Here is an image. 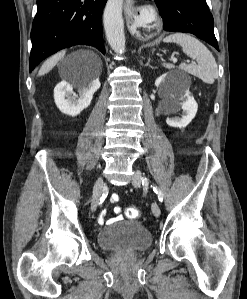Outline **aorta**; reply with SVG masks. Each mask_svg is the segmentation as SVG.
I'll list each match as a JSON object with an SVG mask.
<instances>
[{
    "label": "aorta",
    "mask_w": 247,
    "mask_h": 299,
    "mask_svg": "<svg viewBox=\"0 0 247 299\" xmlns=\"http://www.w3.org/2000/svg\"><path fill=\"white\" fill-rule=\"evenodd\" d=\"M122 7L123 0H108L103 15L104 29L108 44L119 54L125 51Z\"/></svg>",
    "instance_id": "obj_1"
}]
</instances>
